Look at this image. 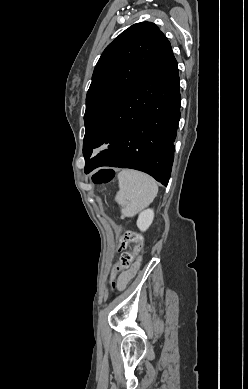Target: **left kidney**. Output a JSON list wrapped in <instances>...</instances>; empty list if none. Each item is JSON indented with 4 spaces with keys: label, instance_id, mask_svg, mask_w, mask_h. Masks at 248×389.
Returning a JSON list of instances; mask_svg holds the SVG:
<instances>
[{
    "label": "left kidney",
    "instance_id": "1",
    "mask_svg": "<svg viewBox=\"0 0 248 389\" xmlns=\"http://www.w3.org/2000/svg\"><path fill=\"white\" fill-rule=\"evenodd\" d=\"M154 219V211L152 209H147L143 211L138 219H137V226L140 229V231L144 232L146 231L149 226L152 224Z\"/></svg>",
    "mask_w": 248,
    "mask_h": 389
}]
</instances>
